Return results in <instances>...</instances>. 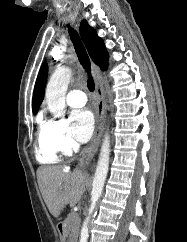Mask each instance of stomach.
Masks as SVG:
<instances>
[{"mask_svg":"<svg viewBox=\"0 0 187 242\" xmlns=\"http://www.w3.org/2000/svg\"><path fill=\"white\" fill-rule=\"evenodd\" d=\"M60 231H62V230L60 229ZM60 238H61L62 242H64V240H65V235H64L63 233H60Z\"/></svg>","mask_w":187,"mask_h":242,"instance_id":"0dacf381","label":"stomach"}]
</instances>
